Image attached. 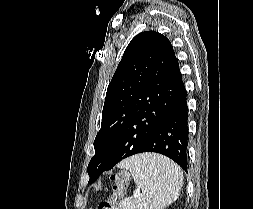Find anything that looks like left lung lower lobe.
Segmentation results:
<instances>
[{
  "label": "left lung lower lobe",
  "instance_id": "0a47b994",
  "mask_svg": "<svg viewBox=\"0 0 253 209\" xmlns=\"http://www.w3.org/2000/svg\"><path fill=\"white\" fill-rule=\"evenodd\" d=\"M186 96L187 92L182 82L170 112L135 154L142 152L163 154L187 172L189 132Z\"/></svg>",
  "mask_w": 253,
  "mask_h": 209
}]
</instances>
